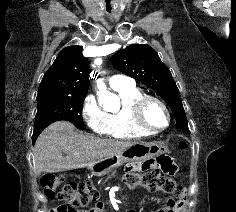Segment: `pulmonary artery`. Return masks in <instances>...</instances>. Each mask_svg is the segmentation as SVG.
<instances>
[{
  "label": "pulmonary artery",
  "instance_id": "e3ab8cb5",
  "mask_svg": "<svg viewBox=\"0 0 236 212\" xmlns=\"http://www.w3.org/2000/svg\"><path fill=\"white\" fill-rule=\"evenodd\" d=\"M131 84H133V81L129 77L121 74H115L109 79V85L112 89L126 87Z\"/></svg>",
  "mask_w": 236,
  "mask_h": 212
}]
</instances>
